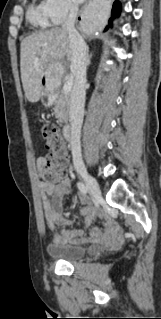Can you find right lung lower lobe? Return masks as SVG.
Segmentation results:
<instances>
[{
  "mask_svg": "<svg viewBox=\"0 0 161 319\" xmlns=\"http://www.w3.org/2000/svg\"><path fill=\"white\" fill-rule=\"evenodd\" d=\"M121 5L119 1H115L112 9V17L115 18L120 14ZM109 25H112V19L109 20ZM108 27H106L107 29Z\"/></svg>",
  "mask_w": 161,
  "mask_h": 319,
  "instance_id": "right-lung-lower-lobe-1",
  "label": "right lung lower lobe"
}]
</instances>
